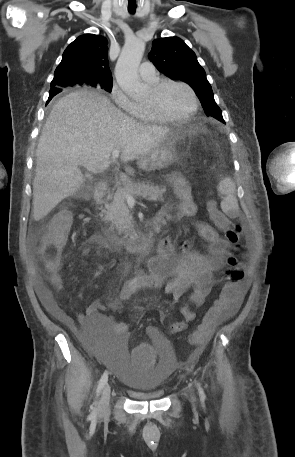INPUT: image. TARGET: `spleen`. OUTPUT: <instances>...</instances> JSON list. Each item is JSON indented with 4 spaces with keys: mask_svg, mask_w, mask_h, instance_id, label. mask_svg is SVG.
<instances>
[{
    "mask_svg": "<svg viewBox=\"0 0 295 457\" xmlns=\"http://www.w3.org/2000/svg\"><path fill=\"white\" fill-rule=\"evenodd\" d=\"M218 191L225 196L221 202L223 212L233 217L239 211L238 202L235 197L236 187L233 180L223 178L218 184Z\"/></svg>",
    "mask_w": 295,
    "mask_h": 457,
    "instance_id": "spleen-1",
    "label": "spleen"
}]
</instances>
